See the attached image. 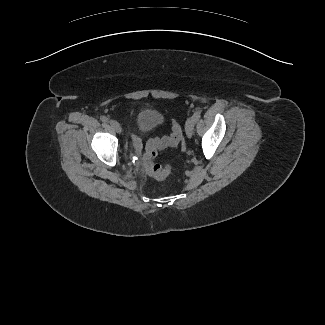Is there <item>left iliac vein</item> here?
<instances>
[{
  "instance_id": "left-iliac-vein-1",
  "label": "left iliac vein",
  "mask_w": 325,
  "mask_h": 325,
  "mask_svg": "<svg viewBox=\"0 0 325 325\" xmlns=\"http://www.w3.org/2000/svg\"><path fill=\"white\" fill-rule=\"evenodd\" d=\"M193 130H194V120L192 117H189L185 124V131L188 138H191L193 136Z\"/></svg>"
}]
</instances>
